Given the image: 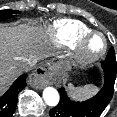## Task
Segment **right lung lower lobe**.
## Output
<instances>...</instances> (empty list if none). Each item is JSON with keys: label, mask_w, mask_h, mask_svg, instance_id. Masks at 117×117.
Wrapping results in <instances>:
<instances>
[{"label": "right lung lower lobe", "mask_w": 117, "mask_h": 117, "mask_svg": "<svg viewBox=\"0 0 117 117\" xmlns=\"http://www.w3.org/2000/svg\"><path fill=\"white\" fill-rule=\"evenodd\" d=\"M26 78L27 74L21 75L0 97V117H12L16 109L18 93L27 85Z\"/></svg>", "instance_id": "1"}]
</instances>
